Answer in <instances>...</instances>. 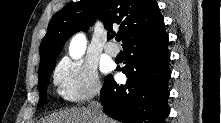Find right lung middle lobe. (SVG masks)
Wrapping results in <instances>:
<instances>
[{
    "instance_id": "dd1d6c3e",
    "label": "right lung middle lobe",
    "mask_w": 221,
    "mask_h": 123,
    "mask_svg": "<svg viewBox=\"0 0 221 123\" xmlns=\"http://www.w3.org/2000/svg\"><path fill=\"white\" fill-rule=\"evenodd\" d=\"M54 67H55V60L52 61L50 64H48L43 69H40L38 71L39 95H40L39 107L42 106L46 101L47 86L49 84L50 75H51Z\"/></svg>"
}]
</instances>
